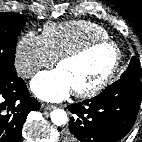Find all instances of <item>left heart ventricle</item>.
I'll return each mask as SVG.
<instances>
[{"mask_svg": "<svg viewBox=\"0 0 142 142\" xmlns=\"http://www.w3.org/2000/svg\"><path fill=\"white\" fill-rule=\"evenodd\" d=\"M115 58L109 46H99L86 55L58 66L69 79L73 90L85 89L100 81L110 70Z\"/></svg>", "mask_w": 142, "mask_h": 142, "instance_id": "left-heart-ventricle-1", "label": "left heart ventricle"}]
</instances>
